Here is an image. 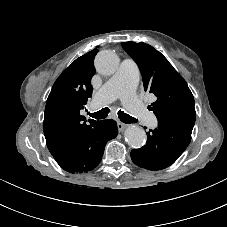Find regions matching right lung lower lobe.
I'll list each match as a JSON object with an SVG mask.
<instances>
[{"instance_id": "1", "label": "right lung lower lobe", "mask_w": 227, "mask_h": 227, "mask_svg": "<svg viewBox=\"0 0 227 227\" xmlns=\"http://www.w3.org/2000/svg\"><path fill=\"white\" fill-rule=\"evenodd\" d=\"M114 120H102L83 132L74 141L51 153L59 166L70 173L93 170L100 163L106 142L117 136Z\"/></svg>"}]
</instances>
